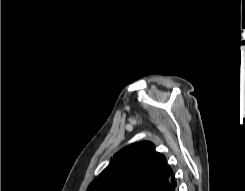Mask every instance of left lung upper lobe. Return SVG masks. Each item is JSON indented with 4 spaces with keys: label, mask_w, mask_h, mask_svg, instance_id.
Returning a JSON list of instances; mask_svg holds the SVG:
<instances>
[{
    "label": "left lung upper lobe",
    "mask_w": 245,
    "mask_h": 191,
    "mask_svg": "<svg viewBox=\"0 0 245 191\" xmlns=\"http://www.w3.org/2000/svg\"><path fill=\"white\" fill-rule=\"evenodd\" d=\"M173 176L166 157L142 141L118 151L88 191H160Z\"/></svg>",
    "instance_id": "left-lung-upper-lobe-1"
}]
</instances>
